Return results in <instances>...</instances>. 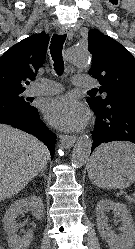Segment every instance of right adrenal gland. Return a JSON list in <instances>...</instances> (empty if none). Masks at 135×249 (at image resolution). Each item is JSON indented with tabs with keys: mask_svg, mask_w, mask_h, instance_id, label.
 <instances>
[{
	"mask_svg": "<svg viewBox=\"0 0 135 249\" xmlns=\"http://www.w3.org/2000/svg\"><path fill=\"white\" fill-rule=\"evenodd\" d=\"M40 176H43L44 178H47V176L45 174V169L41 171V175Z\"/></svg>",
	"mask_w": 135,
	"mask_h": 249,
	"instance_id": "2a0ac1e0",
	"label": "right adrenal gland"
}]
</instances>
